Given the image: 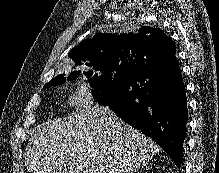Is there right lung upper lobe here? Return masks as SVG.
<instances>
[{
    "mask_svg": "<svg viewBox=\"0 0 219 173\" xmlns=\"http://www.w3.org/2000/svg\"><path fill=\"white\" fill-rule=\"evenodd\" d=\"M175 49L174 41L162 30L146 26L141 27L137 34H97L76 46L68 56L77 62L90 60L91 63H86L92 67L89 75L107 64L133 63L138 66L147 60L155 59L159 63L169 65L176 59ZM78 74L79 72L75 71L70 76ZM59 77L61 75L56 78ZM55 79L46 85L59 82L63 78Z\"/></svg>",
    "mask_w": 219,
    "mask_h": 173,
    "instance_id": "obj_1",
    "label": "right lung upper lobe"
}]
</instances>
